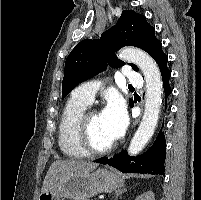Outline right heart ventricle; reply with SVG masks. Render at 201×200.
I'll return each instance as SVG.
<instances>
[{
    "instance_id": "1",
    "label": "right heart ventricle",
    "mask_w": 201,
    "mask_h": 200,
    "mask_svg": "<svg viewBox=\"0 0 201 200\" xmlns=\"http://www.w3.org/2000/svg\"><path fill=\"white\" fill-rule=\"evenodd\" d=\"M89 103L72 96L66 103L58 127V143L62 153L69 158H83L87 154L78 146L76 127Z\"/></svg>"
}]
</instances>
